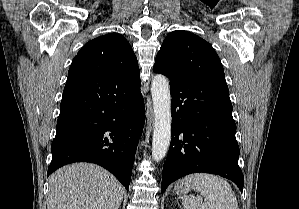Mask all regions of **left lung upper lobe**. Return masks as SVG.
Here are the masks:
<instances>
[{"label": "left lung upper lobe", "instance_id": "5c2ea615", "mask_svg": "<svg viewBox=\"0 0 299 209\" xmlns=\"http://www.w3.org/2000/svg\"><path fill=\"white\" fill-rule=\"evenodd\" d=\"M153 71L169 78L226 82L221 61L212 46L199 36L180 30L169 33L165 38Z\"/></svg>", "mask_w": 299, "mask_h": 209}]
</instances>
